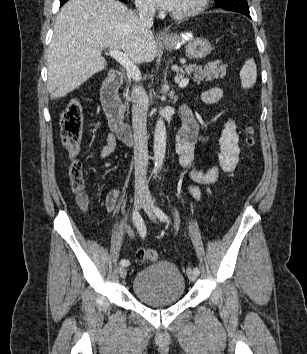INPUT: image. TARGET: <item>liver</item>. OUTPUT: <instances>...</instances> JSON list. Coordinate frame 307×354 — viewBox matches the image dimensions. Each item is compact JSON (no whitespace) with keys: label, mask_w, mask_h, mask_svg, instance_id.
<instances>
[{"label":"liver","mask_w":307,"mask_h":354,"mask_svg":"<svg viewBox=\"0 0 307 354\" xmlns=\"http://www.w3.org/2000/svg\"><path fill=\"white\" fill-rule=\"evenodd\" d=\"M53 30L47 58L51 99L66 96L104 70V48L122 50L135 63H149L157 53L153 33L118 0H69Z\"/></svg>","instance_id":"liver-1"}]
</instances>
